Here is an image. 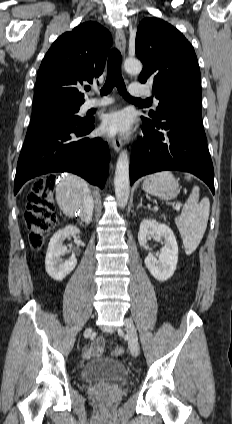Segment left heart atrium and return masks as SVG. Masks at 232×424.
<instances>
[{"mask_svg":"<svg viewBox=\"0 0 232 424\" xmlns=\"http://www.w3.org/2000/svg\"><path fill=\"white\" fill-rule=\"evenodd\" d=\"M101 131L110 136H126L131 130V117L125 111L108 113L103 116Z\"/></svg>","mask_w":232,"mask_h":424,"instance_id":"1","label":"left heart atrium"}]
</instances>
